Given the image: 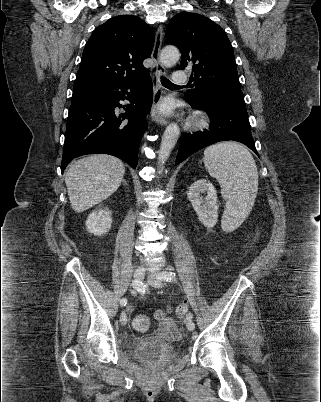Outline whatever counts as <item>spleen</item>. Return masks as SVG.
I'll use <instances>...</instances> for the list:
<instances>
[{"mask_svg":"<svg viewBox=\"0 0 321 402\" xmlns=\"http://www.w3.org/2000/svg\"><path fill=\"white\" fill-rule=\"evenodd\" d=\"M204 164L216 178L226 201L223 230L237 228L251 211L258 191V171L251 153L241 144L226 141L204 150Z\"/></svg>","mask_w":321,"mask_h":402,"instance_id":"3e777b00","label":"spleen"}]
</instances>
